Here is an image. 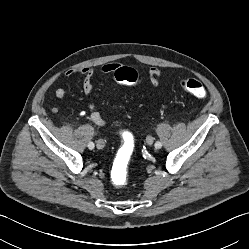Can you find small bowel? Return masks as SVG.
Instances as JSON below:
<instances>
[{"mask_svg": "<svg viewBox=\"0 0 249 249\" xmlns=\"http://www.w3.org/2000/svg\"><path fill=\"white\" fill-rule=\"evenodd\" d=\"M120 64L117 62H111L107 63L102 66L101 72L103 74H114L115 71L120 68ZM75 74H80L82 76V88L84 93L87 96H91L93 94V84H92V78L94 75V69L92 67H80V68H74L69 69L66 71L65 75L67 77L73 76ZM163 72L158 67H151L149 69V80L151 85L154 88H158L159 86V80L162 77ZM66 95V91L64 88L59 87L55 90V96L58 99H63ZM57 109L54 108L53 112H56ZM88 117L89 119L99 127H103L107 124V120L101 115V113L97 110L96 106L93 103L88 104Z\"/></svg>", "mask_w": 249, "mask_h": 249, "instance_id": "small-bowel-1", "label": "small bowel"}]
</instances>
